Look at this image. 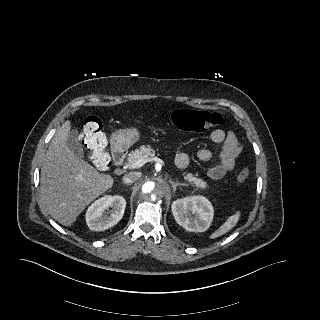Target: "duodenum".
<instances>
[{"mask_svg":"<svg viewBox=\"0 0 320 320\" xmlns=\"http://www.w3.org/2000/svg\"><path fill=\"white\" fill-rule=\"evenodd\" d=\"M113 161L117 166H121L126 158V149L120 145V144H115L113 147Z\"/></svg>","mask_w":320,"mask_h":320,"instance_id":"obj_1","label":"duodenum"}]
</instances>
